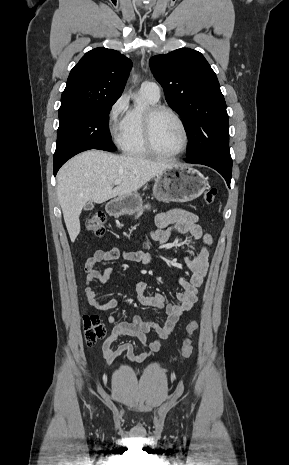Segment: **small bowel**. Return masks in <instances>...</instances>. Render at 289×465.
Masks as SVG:
<instances>
[{"label": "small bowel", "instance_id": "small-bowel-1", "mask_svg": "<svg viewBox=\"0 0 289 465\" xmlns=\"http://www.w3.org/2000/svg\"><path fill=\"white\" fill-rule=\"evenodd\" d=\"M185 234L191 235L195 241L199 242V247L184 258L186 265L192 271V275L188 279L177 278V284L180 288V291L175 296L177 302L165 303L164 296L161 293L147 294V283L144 281L137 282L135 285L137 300L144 306L163 309L165 319L163 322L144 321L139 316H133L131 320L126 321L120 315H108L107 321L113 325V329L102 346L103 357L107 363L114 362L123 352L127 354L130 362L136 363H140L152 356L160 349L162 341L167 339L174 330L180 316L184 312L190 311L197 302L208 271L209 247L212 244V237L203 231L199 225V218L194 213L174 209L157 215L156 228L152 231V238L161 246H165L172 237ZM121 257L127 261L142 262L144 264L153 262L152 256L148 253L136 250L122 251L118 247L109 250H98L89 257L85 264L86 286L84 298L90 306L98 311H108L115 308L118 300L111 299L106 303H101L97 299L92 283L98 281L105 284L113 274L111 269L100 272L97 265ZM151 330L158 334V339L149 343L146 333ZM120 336L136 337L142 343L143 351L136 354L131 343H123L113 349L112 344Z\"/></svg>", "mask_w": 289, "mask_h": 465}]
</instances>
